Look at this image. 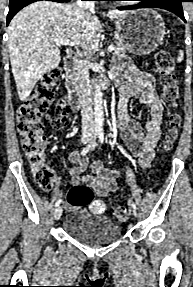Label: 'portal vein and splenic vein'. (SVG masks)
Returning a JSON list of instances; mask_svg holds the SVG:
<instances>
[{
  "label": "portal vein and splenic vein",
  "instance_id": "portal-vein-and-splenic-vein-1",
  "mask_svg": "<svg viewBox=\"0 0 193 287\" xmlns=\"http://www.w3.org/2000/svg\"><path fill=\"white\" fill-rule=\"evenodd\" d=\"M54 42H55V44H56L57 46H60V45L75 46V43L71 42V41L68 40V39H56V40H54ZM114 49H115V48H114L113 45H110V46L108 47V51H109V52H112Z\"/></svg>",
  "mask_w": 193,
  "mask_h": 287
}]
</instances>
